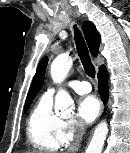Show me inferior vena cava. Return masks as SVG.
I'll return each instance as SVG.
<instances>
[{"label":"inferior vena cava","instance_id":"obj_1","mask_svg":"<svg viewBox=\"0 0 130 153\" xmlns=\"http://www.w3.org/2000/svg\"><path fill=\"white\" fill-rule=\"evenodd\" d=\"M85 133V125L83 122H80L76 126L74 141L67 148V153H76L80 147L81 140Z\"/></svg>","mask_w":130,"mask_h":153}]
</instances>
